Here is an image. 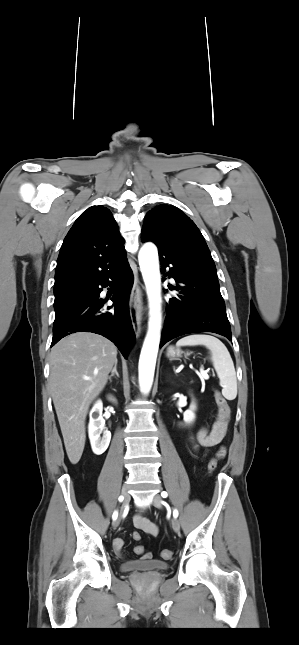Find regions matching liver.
Masks as SVG:
<instances>
[{
    "label": "liver",
    "instance_id": "6515ba94",
    "mask_svg": "<svg viewBox=\"0 0 299 645\" xmlns=\"http://www.w3.org/2000/svg\"><path fill=\"white\" fill-rule=\"evenodd\" d=\"M116 361V346L90 332L71 334L51 350L49 388L72 464L84 450L90 404L104 389Z\"/></svg>",
    "mask_w": 299,
    "mask_h": 645
}]
</instances>
